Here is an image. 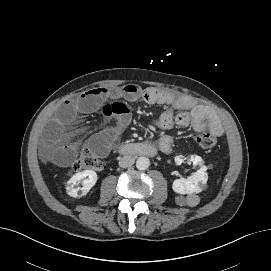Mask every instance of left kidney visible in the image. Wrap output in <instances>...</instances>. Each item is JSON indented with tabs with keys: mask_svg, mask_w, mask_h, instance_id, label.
Masks as SVG:
<instances>
[{
	"mask_svg": "<svg viewBox=\"0 0 271 271\" xmlns=\"http://www.w3.org/2000/svg\"><path fill=\"white\" fill-rule=\"evenodd\" d=\"M189 160L194 165H199L200 169L192 173L187 179L180 178L174 180L172 189L178 194H192L198 193L206 185L208 180L207 167L204 165L203 159L198 155H191ZM184 161L183 156H177L175 158L176 164L180 165Z\"/></svg>",
	"mask_w": 271,
	"mask_h": 271,
	"instance_id": "1",
	"label": "left kidney"
}]
</instances>
